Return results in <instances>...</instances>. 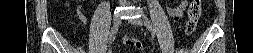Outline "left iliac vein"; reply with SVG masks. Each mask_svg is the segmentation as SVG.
I'll return each instance as SVG.
<instances>
[{"mask_svg": "<svg viewBox=\"0 0 253 53\" xmlns=\"http://www.w3.org/2000/svg\"><path fill=\"white\" fill-rule=\"evenodd\" d=\"M129 21H130L131 24L136 25V26H142L143 25V21L139 17H133Z\"/></svg>", "mask_w": 253, "mask_h": 53, "instance_id": "obj_1", "label": "left iliac vein"}]
</instances>
